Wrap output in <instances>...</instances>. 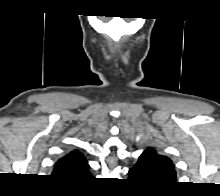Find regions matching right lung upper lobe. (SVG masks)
<instances>
[{
  "mask_svg": "<svg viewBox=\"0 0 220 196\" xmlns=\"http://www.w3.org/2000/svg\"><path fill=\"white\" fill-rule=\"evenodd\" d=\"M88 168L85 157L74 150L58 160L52 175L67 181H81L90 175Z\"/></svg>",
  "mask_w": 220,
  "mask_h": 196,
  "instance_id": "cb5924a9",
  "label": "right lung upper lobe"
}]
</instances>
